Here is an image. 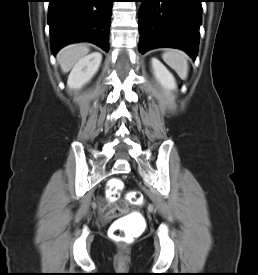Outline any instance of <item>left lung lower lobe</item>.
Wrapping results in <instances>:
<instances>
[{"label":"left lung lower lobe","instance_id":"left-lung-lower-lobe-1","mask_svg":"<svg viewBox=\"0 0 258 275\" xmlns=\"http://www.w3.org/2000/svg\"><path fill=\"white\" fill-rule=\"evenodd\" d=\"M140 42L143 54L158 47L186 51L196 58L201 24L202 0H139Z\"/></svg>","mask_w":258,"mask_h":275}]
</instances>
